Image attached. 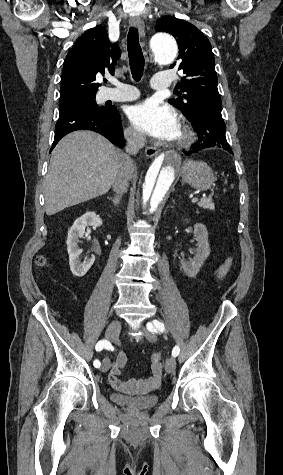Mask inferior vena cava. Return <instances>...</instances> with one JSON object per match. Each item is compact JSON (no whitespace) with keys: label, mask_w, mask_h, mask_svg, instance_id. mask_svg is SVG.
<instances>
[{"label":"inferior vena cava","mask_w":283,"mask_h":475,"mask_svg":"<svg viewBox=\"0 0 283 475\" xmlns=\"http://www.w3.org/2000/svg\"><path fill=\"white\" fill-rule=\"evenodd\" d=\"M126 142V154H121V158L117 162L116 176L113 182L114 192L118 196L127 192L128 182L131 180L134 170H136V166L130 156H135L145 146L146 136L142 132L134 130V132L126 134Z\"/></svg>","instance_id":"inferior-vena-cava-1"}]
</instances>
